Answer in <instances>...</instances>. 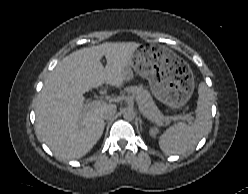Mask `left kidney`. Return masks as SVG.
<instances>
[{
  "label": "left kidney",
  "instance_id": "1",
  "mask_svg": "<svg viewBox=\"0 0 248 194\" xmlns=\"http://www.w3.org/2000/svg\"><path fill=\"white\" fill-rule=\"evenodd\" d=\"M157 133H158V129L157 128H151L149 130V134H150L151 137H156Z\"/></svg>",
  "mask_w": 248,
  "mask_h": 194
}]
</instances>
